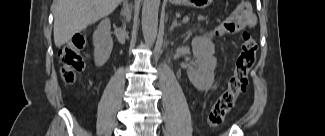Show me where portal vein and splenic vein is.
Returning a JSON list of instances; mask_svg holds the SVG:
<instances>
[{"instance_id":"portal-vein-and-splenic-vein-1","label":"portal vein and splenic vein","mask_w":325,"mask_h":136,"mask_svg":"<svg viewBox=\"0 0 325 136\" xmlns=\"http://www.w3.org/2000/svg\"><path fill=\"white\" fill-rule=\"evenodd\" d=\"M188 21H189V16L183 18V22H188Z\"/></svg>"}]
</instances>
